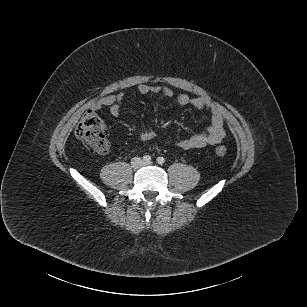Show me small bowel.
<instances>
[{"mask_svg": "<svg viewBox=\"0 0 307 307\" xmlns=\"http://www.w3.org/2000/svg\"><path fill=\"white\" fill-rule=\"evenodd\" d=\"M136 92L141 95L145 94H161L171 98L174 92L169 87L140 85ZM130 98L124 93L110 94L98 100L94 109L98 110L108 107L110 114L114 117L120 115L122 102ZM177 102L182 106H191L193 108L206 111L210 114L211 124L205 132L195 133L186 139L178 141L175 145L183 150L201 149L209 145L219 144L225 137V120L222 113L210 102L202 97H190L181 93L176 96ZM155 138L153 131H145L140 134V140L143 142L151 141Z\"/></svg>", "mask_w": 307, "mask_h": 307, "instance_id": "1", "label": "small bowel"}]
</instances>
